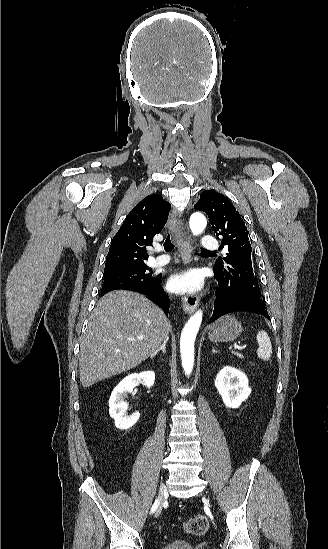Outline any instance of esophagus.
<instances>
[{
  "mask_svg": "<svg viewBox=\"0 0 328 549\" xmlns=\"http://www.w3.org/2000/svg\"><path fill=\"white\" fill-rule=\"evenodd\" d=\"M168 227L173 238L178 243L182 262L189 264L192 262V245L187 237V232L185 231L183 223L171 213L168 220ZM181 304L186 314H192L198 307L199 298L194 294H184L181 298Z\"/></svg>",
  "mask_w": 328,
  "mask_h": 549,
  "instance_id": "esophagus-1",
  "label": "esophagus"
}]
</instances>
